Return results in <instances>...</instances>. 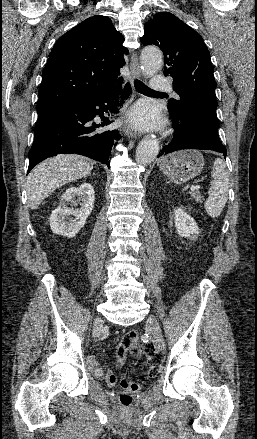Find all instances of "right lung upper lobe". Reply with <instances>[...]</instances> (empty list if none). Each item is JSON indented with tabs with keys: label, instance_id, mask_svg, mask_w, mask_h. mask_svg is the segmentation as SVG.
Returning a JSON list of instances; mask_svg holds the SVG:
<instances>
[{
	"label": "right lung upper lobe",
	"instance_id": "1",
	"mask_svg": "<svg viewBox=\"0 0 257 439\" xmlns=\"http://www.w3.org/2000/svg\"><path fill=\"white\" fill-rule=\"evenodd\" d=\"M123 35L106 16H93L72 28L53 46L42 73L37 112L97 95L122 78Z\"/></svg>",
	"mask_w": 257,
	"mask_h": 439
}]
</instances>
